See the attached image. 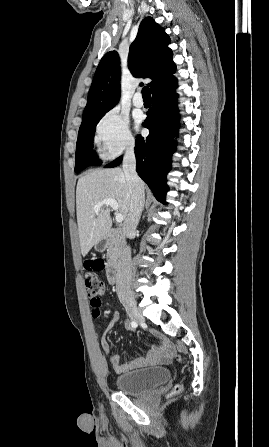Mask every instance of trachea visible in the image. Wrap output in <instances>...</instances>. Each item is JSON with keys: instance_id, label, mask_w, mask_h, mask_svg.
I'll return each instance as SVG.
<instances>
[{"instance_id": "trachea-1", "label": "trachea", "mask_w": 269, "mask_h": 447, "mask_svg": "<svg viewBox=\"0 0 269 447\" xmlns=\"http://www.w3.org/2000/svg\"><path fill=\"white\" fill-rule=\"evenodd\" d=\"M143 100H151V92L149 87H144L142 89Z\"/></svg>"}]
</instances>
